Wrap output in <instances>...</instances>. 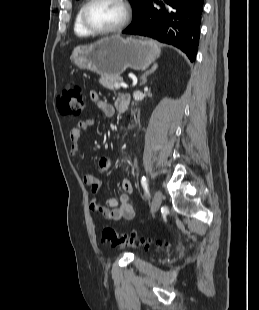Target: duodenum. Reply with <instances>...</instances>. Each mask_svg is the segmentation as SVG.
<instances>
[{"label":"duodenum","instance_id":"410a0bca","mask_svg":"<svg viewBox=\"0 0 259 310\" xmlns=\"http://www.w3.org/2000/svg\"><path fill=\"white\" fill-rule=\"evenodd\" d=\"M130 101L129 96H122L117 104V110L121 113L125 112Z\"/></svg>","mask_w":259,"mask_h":310}]
</instances>
